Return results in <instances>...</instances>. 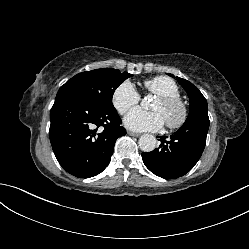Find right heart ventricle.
<instances>
[{
	"label": "right heart ventricle",
	"mask_w": 249,
	"mask_h": 249,
	"mask_svg": "<svg viewBox=\"0 0 249 249\" xmlns=\"http://www.w3.org/2000/svg\"><path fill=\"white\" fill-rule=\"evenodd\" d=\"M145 90L156 96H180L177 83L167 76H156L143 82Z\"/></svg>",
	"instance_id": "1"
}]
</instances>
